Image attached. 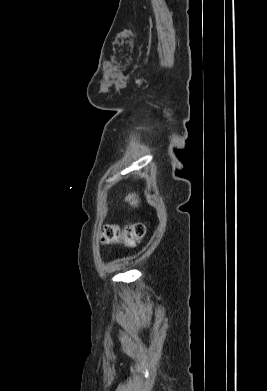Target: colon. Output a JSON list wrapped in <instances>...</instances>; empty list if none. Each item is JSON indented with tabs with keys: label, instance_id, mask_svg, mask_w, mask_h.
Returning <instances> with one entry per match:
<instances>
[{
	"label": "colon",
	"instance_id": "obj_1",
	"mask_svg": "<svg viewBox=\"0 0 267 391\" xmlns=\"http://www.w3.org/2000/svg\"><path fill=\"white\" fill-rule=\"evenodd\" d=\"M146 234V226L142 223H134L124 227L107 225L103 230V241L105 243H123L133 247Z\"/></svg>",
	"mask_w": 267,
	"mask_h": 391
}]
</instances>
